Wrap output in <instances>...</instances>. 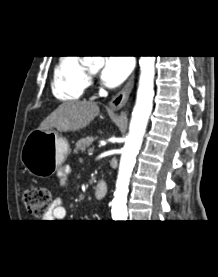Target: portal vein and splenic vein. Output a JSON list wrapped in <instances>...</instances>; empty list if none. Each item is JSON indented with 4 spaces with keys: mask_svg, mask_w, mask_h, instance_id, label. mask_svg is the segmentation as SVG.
<instances>
[{
    "mask_svg": "<svg viewBox=\"0 0 218 277\" xmlns=\"http://www.w3.org/2000/svg\"><path fill=\"white\" fill-rule=\"evenodd\" d=\"M94 151V148H90L89 149V153L93 152Z\"/></svg>",
    "mask_w": 218,
    "mask_h": 277,
    "instance_id": "18ae733b",
    "label": "portal vein and splenic vein"
}]
</instances>
